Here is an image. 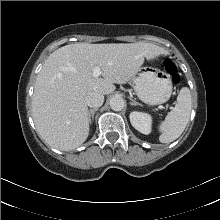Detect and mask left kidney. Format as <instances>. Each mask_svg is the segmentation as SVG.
Here are the masks:
<instances>
[{
	"label": "left kidney",
	"mask_w": 220,
	"mask_h": 220,
	"mask_svg": "<svg viewBox=\"0 0 220 220\" xmlns=\"http://www.w3.org/2000/svg\"><path fill=\"white\" fill-rule=\"evenodd\" d=\"M130 122L132 126L142 134H150L152 117L149 114L133 111L130 113Z\"/></svg>",
	"instance_id": "1"
}]
</instances>
